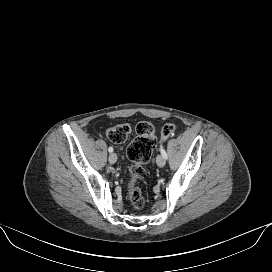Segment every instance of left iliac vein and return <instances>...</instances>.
Returning a JSON list of instances; mask_svg holds the SVG:
<instances>
[{"label":"left iliac vein","mask_w":272,"mask_h":272,"mask_svg":"<svg viewBox=\"0 0 272 272\" xmlns=\"http://www.w3.org/2000/svg\"><path fill=\"white\" fill-rule=\"evenodd\" d=\"M156 163L159 167H163L166 164V159L163 155H158L156 158Z\"/></svg>","instance_id":"1"}]
</instances>
